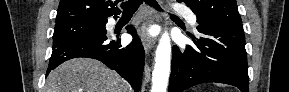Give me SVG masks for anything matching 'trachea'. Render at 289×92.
Wrapping results in <instances>:
<instances>
[{
    "label": "trachea",
    "mask_w": 289,
    "mask_h": 92,
    "mask_svg": "<svg viewBox=\"0 0 289 92\" xmlns=\"http://www.w3.org/2000/svg\"><path fill=\"white\" fill-rule=\"evenodd\" d=\"M145 2L151 7L159 11H162L161 7L159 6L156 0H145ZM142 3L143 0H129L127 2L122 3L121 7L124 10V13H130L135 12Z\"/></svg>",
    "instance_id": "obj_1"
}]
</instances>
